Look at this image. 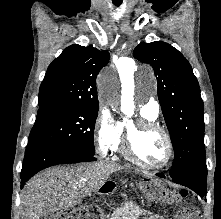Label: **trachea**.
I'll list each match as a JSON object with an SVG mask.
<instances>
[{
	"label": "trachea",
	"mask_w": 221,
	"mask_h": 219,
	"mask_svg": "<svg viewBox=\"0 0 221 219\" xmlns=\"http://www.w3.org/2000/svg\"><path fill=\"white\" fill-rule=\"evenodd\" d=\"M115 6H120L121 5V2L119 3H114Z\"/></svg>",
	"instance_id": "obj_1"
}]
</instances>
